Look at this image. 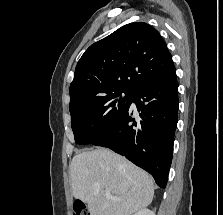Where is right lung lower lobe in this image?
I'll return each instance as SVG.
<instances>
[{"label":"right lung lower lobe","instance_id":"98d812e1","mask_svg":"<svg viewBox=\"0 0 223 215\" xmlns=\"http://www.w3.org/2000/svg\"><path fill=\"white\" fill-rule=\"evenodd\" d=\"M131 103L141 111L137 121L130 104L118 123L91 144L125 156L149 172L158 186L165 188L179 105L176 72L137 89Z\"/></svg>","mask_w":223,"mask_h":215}]
</instances>
